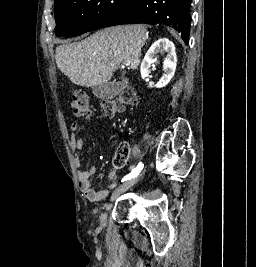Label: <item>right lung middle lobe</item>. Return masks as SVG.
Here are the masks:
<instances>
[{
  "instance_id": "1",
  "label": "right lung middle lobe",
  "mask_w": 256,
  "mask_h": 267,
  "mask_svg": "<svg viewBox=\"0 0 256 267\" xmlns=\"http://www.w3.org/2000/svg\"><path fill=\"white\" fill-rule=\"evenodd\" d=\"M135 0H58L55 6L56 36H77L102 28Z\"/></svg>"
}]
</instances>
